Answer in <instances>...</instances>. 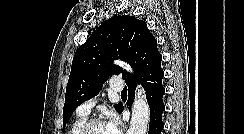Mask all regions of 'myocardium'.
Instances as JSON below:
<instances>
[{
	"label": "myocardium",
	"mask_w": 244,
	"mask_h": 134,
	"mask_svg": "<svg viewBox=\"0 0 244 134\" xmlns=\"http://www.w3.org/2000/svg\"><path fill=\"white\" fill-rule=\"evenodd\" d=\"M96 125H105V121L99 118L89 119L80 127L77 134H89L90 130Z\"/></svg>",
	"instance_id": "f54148a6"
}]
</instances>
